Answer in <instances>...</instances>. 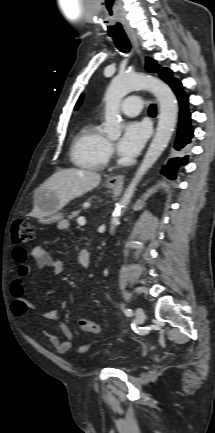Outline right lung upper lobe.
<instances>
[{"label":"right lung upper lobe","instance_id":"cb5924a9","mask_svg":"<svg viewBox=\"0 0 215 433\" xmlns=\"http://www.w3.org/2000/svg\"><path fill=\"white\" fill-rule=\"evenodd\" d=\"M82 98H83V95L79 98V100H78V102H77V104L75 106V109H77L80 106V104L82 102Z\"/></svg>","mask_w":215,"mask_h":433}]
</instances>
